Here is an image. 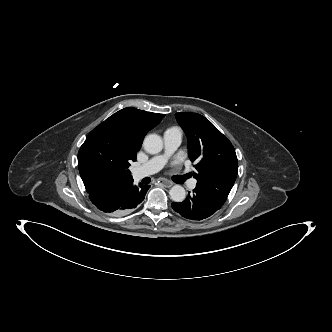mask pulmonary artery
<instances>
[{
  "label": "pulmonary artery",
  "instance_id": "obj_1",
  "mask_svg": "<svg viewBox=\"0 0 332 332\" xmlns=\"http://www.w3.org/2000/svg\"><path fill=\"white\" fill-rule=\"evenodd\" d=\"M181 141L182 134L179 129L172 128L167 130L164 133V153L153 157L148 162L135 168L133 171L134 178L141 179L158 172L164 166L167 158L179 147ZM188 186L190 189H194L196 187V180H190Z\"/></svg>",
  "mask_w": 332,
  "mask_h": 332
}]
</instances>
